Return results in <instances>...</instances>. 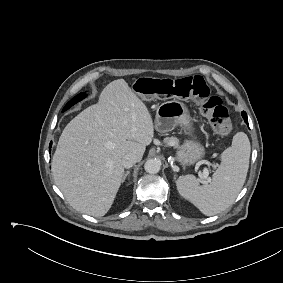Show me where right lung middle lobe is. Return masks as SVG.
Here are the masks:
<instances>
[{"label": "right lung middle lobe", "instance_id": "right-lung-middle-lobe-1", "mask_svg": "<svg viewBox=\"0 0 283 283\" xmlns=\"http://www.w3.org/2000/svg\"><path fill=\"white\" fill-rule=\"evenodd\" d=\"M86 97V94L84 92L78 94L77 96H75L73 99H71L66 106L64 107L63 111H66L67 109H69L72 105L76 104L77 102H79L80 100H82L83 98Z\"/></svg>", "mask_w": 283, "mask_h": 283}]
</instances>
